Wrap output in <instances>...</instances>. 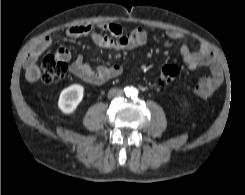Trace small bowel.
<instances>
[{
  "mask_svg": "<svg viewBox=\"0 0 245 195\" xmlns=\"http://www.w3.org/2000/svg\"><path fill=\"white\" fill-rule=\"evenodd\" d=\"M66 35L70 37L90 36L97 45L117 51L139 48L147 42V33L142 28H136L124 34L122 27L113 23H102L96 27L93 25H75L66 30ZM168 36L173 40L183 38V35L176 31H170ZM51 43L50 37H44L36 42L26 55L24 68L28 81L34 82L39 78L37 59ZM179 50L189 70H195L200 66L209 67L210 74L199 81L194 89V94L200 98L210 97L223 82L222 67L216 56L203 42L198 44L197 51H191L185 43L180 44ZM56 56L63 61H68L71 58L70 52L63 47L57 50ZM69 70L73 75L87 83L100 85L119 76L122 67L119 64H111L93 68L85 62L82 55H77Z\"/></svg>",
  "mask_w": 245,
  "mask_h": 195,
  "instance_id": "small-bowel-1",
  "label": "small bowel"
}]
</instances>
